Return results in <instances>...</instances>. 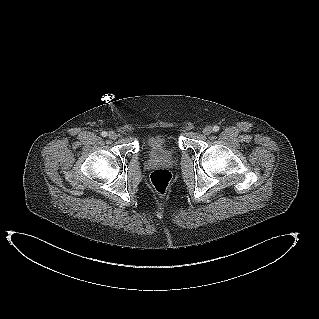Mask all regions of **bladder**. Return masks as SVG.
<instances>
[{
  "mask_svg": "<svg viewBox=\"0 0 319 319\" xmlns=\"http://www.w3.org/2000/svg\"><path fill=\"white\" fill-rule=\"evenodd\" d=\"M142 147L150 156H160L173 153V143L170 136L156 135L147 137Z\"/></svg>",
  "mask_w": 319,
  "mask_h": 319,
  "instance_id": "obj_1",
  "label": "bladder"
}]
</instances>
